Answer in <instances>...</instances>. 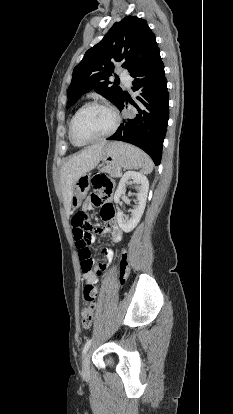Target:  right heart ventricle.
<instances>
[{
	"label": "right heart ventricle",
	"mask_w": 233,
	"mask_h": 414,
	"mask_svg": "<svg viewBox=\"0 0 233 414\" xmlns=\"http://www.w3.org/2000/svg\"><path fill=\"white\" fill-rule=\"evenodd\" d=\"M70 122H71V121H70ZM71 142H72V141H71ZM72 144H73V145H75V146H79V145L74 144L73 142H72Z\"/></svg>",
	"instance_id": "obj_1"
}]
</instances>
